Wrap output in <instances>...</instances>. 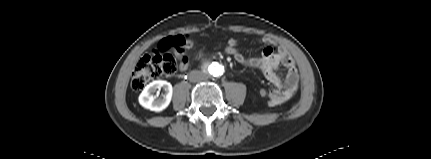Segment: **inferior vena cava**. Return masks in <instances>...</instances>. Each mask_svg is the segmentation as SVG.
<instances>
[{
    "label": "inferior vena cava",
    "mask_w": 431,
    "mask_h": 159,
    "mask_svg": "<svg viewBox=\"0 0 431 159\" xmlns=\"http://www.w3.org/2000/svg\"><path fill=\"white\" fill-rule=\"evenodd\" d=\"M204 79L203 75L199 72H191L190 81L191 82H200Z\"/></svg>",
    "instance_id": "obj_1"
}]
</instances>
